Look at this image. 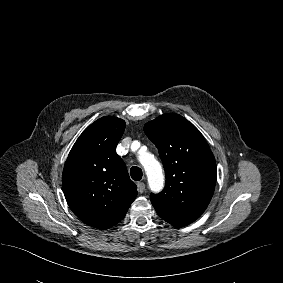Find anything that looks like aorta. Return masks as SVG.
I'll return each instance as SVG.
<instances>
[{"mask_svg":"<svg viewBox=\"0 0 283 283\" xmlns=\"http://www.w3.org/2000/svg\"><path fill=\"white\" fill-rule=\"evenodd\" d=\"M140 162L146 171L150 189L155 192L160 191L164 185V175L160 163L150 153H142Z\"/></svg>","mask_w":283,"mask_h":283,"instance_id":"obj_1","label":"aorta"}]
</instances>
